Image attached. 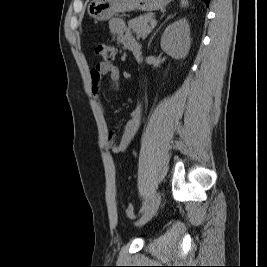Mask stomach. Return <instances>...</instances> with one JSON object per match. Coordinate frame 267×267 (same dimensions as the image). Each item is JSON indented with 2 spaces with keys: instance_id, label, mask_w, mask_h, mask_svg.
Listing matches in <instances>:
<instances>
[{
  "instance_id": "obj_1",
  "label": "stomach",
  "mask_w": 267,
  "mask_h": 267,
  "mask_svg": "<svg viewBox=\"0 0 267 267\" xmlns=\"http://www.w3.org/2000/svg\"><path fill=\"white\" fill-rule=\"evenodd\" d=\"M172 0H92L88 5V14L95 20L107 21L117 13L131 10L144 12L165 8Z\"/></svg>"
}]
</instances>
